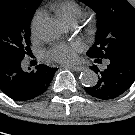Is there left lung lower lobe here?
<instances>
[{"instance_id":"1","label":"left lung lower lobe","mask_w":135,"mask_h":135,"mask_svg":"<svg viewBox=\"0 0 135 135\" xmlns=\"http://www.w3.org/2000/svg\"><path fill=\"white\" fill-rule=\"evenodd\" d=\"M108 62L106 69L99 70L97 66L90 67L98 74V82L93 87H85L92 97L110 100L122 95L135 81V56L111 55L105 58ZM101 63V58H95Z\"/></svg>"}]
</instances>
